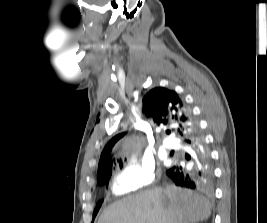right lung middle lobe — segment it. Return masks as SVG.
<instances>
[{"instance_id": "obj_1", "label": "right lung middle lobe", "mask_w": 267, "mask_h": 223, "mask_svg": "<svg viewBox=\"0 0 267 223\" xmlns=\"http://www.w3.org/2000/svg\"><path fill=\"white\" fill-rule=\"evenodd\" d=\"M112 174V168H109L103 175L102 177L99 178L100 181L102 182H108ZM102 204V201L98 202L95 208V212L93 213V217L97 214L100 206Z\"/></svg>"}]
</instances>
